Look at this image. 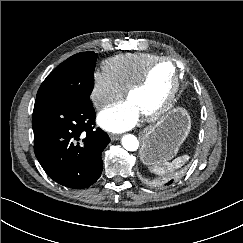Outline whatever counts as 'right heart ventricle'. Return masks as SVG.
I'll return each mask as SVG.
<instances>
[{
    "mask_svg": "<svg viewBox=\"0 0 243 243\" xmlns=\"http://www.w3.org/2000/svg\"><path fill=\"white\" fill-rule=\"evenodd\" d=\"M158 56L151 53H127L114 56L104 62V69L123 89L137 79L145 67Z\"/></svg>",
    "mask_w": 243,
    "mask_h": 243,
    "instance_id": "obj_1",
    "label": "right heart ventricle"
}]
</instances>
